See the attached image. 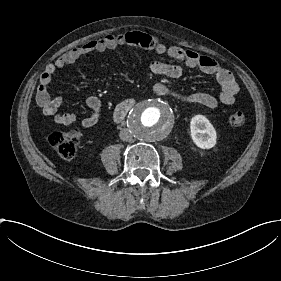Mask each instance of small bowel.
<instances>
[{
  "label": "small bowel",
  "mask_w": 281,
  "mask_h": 281,
  "mask_svg": "<svg viewBox=\"0 0 281 281\" xmlns=\"http://www.w3.org/2000/svg\"><path fill=\"white\" fill-rule=\"evenodd\" d=\"M119 46L140 47L152 50L169 59L183 62L189 68L213 75L221 86L220 99L224 104H232L235 101L239 87L231 72L222 68L214 59L200 55L194 50H187L179 45H168L160 37L142 30H129L123 34H107L99 40L88 41L85 44L70 50L57 59L54 64L48 66L40 77L36 102L45 116L54 115L64 103L62 94L50 98L49 85L55 72L66 65L73 64L84 55L111 51ZM154 75L170 79L180 78L183 68L180 65L163 61H154L150 65ZM153 91L159 95H167L180 103L196 104L208 109H214L218 105V98L205 91L183 92L172 89L163 82H156L152 86ZM89 114L81 121L83 127L90 128L97 124L101 115L100 99L91 95L86 100ZM76 116L71 113L57 114L53 122L59 126H68L75 123Z\"/></svg>",
  "instance_id": "c3829d8e"
}]
</instances>
